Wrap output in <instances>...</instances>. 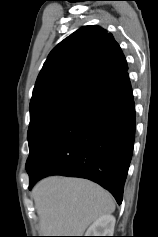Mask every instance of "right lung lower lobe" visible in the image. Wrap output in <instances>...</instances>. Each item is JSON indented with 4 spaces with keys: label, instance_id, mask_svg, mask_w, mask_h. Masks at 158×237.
Returning <instances> with one entry per match:
<instances>
[{
    "label": "right lung lower lobe",
    "instance_id": "obj_1",
    "mask_svg": "<svg viewBox=\"0 0 158 237\" xmlns=\"http://www.w3.org/2000/svg\"><path fill=\"white\" fill-rule=\"evenodd\" d=\"M135 107L128 73L96 92L59 124L37 148L29 188L49 175L90 179L118 204L135 138Z\"/></svg>",
    "mask_w": 158,
    "mask_h": 237
}]
</instances>
